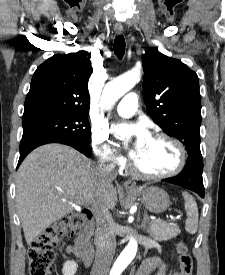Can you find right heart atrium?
<instances>
[{
    "label": "right heart atrium",
    "mask_w": 225,
    "mask_h": 275,
    "mask_svg": "<svg viewBox=\"0 0 225 275\" xmlns=\"http://www.w3.org/2000/svg\"><path fill=\"white\" fill-rule=\"evenodd\" d=\"M91 145L95 154L103 164L120 167L126 163L125 159L113 146L109 134L105 129L101 127H94L92 129Z\"/></svg>",
    "instance_id": "obj_1"
}]
</instances>
